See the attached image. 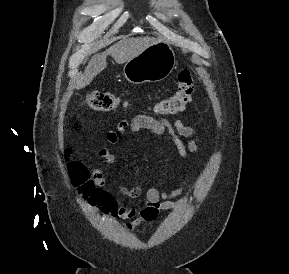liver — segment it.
Masks as SVG:
<instances>
[{
	"mask_svg": "<svg viewBox=\"0 0 289 274\" xmlns=\"http://www.w3.org/2000/svg\"><path fill=\"white\" fill-rule=\"evenodd\" d=\"M158 42L153 37L123 38L106 51L95 54L89 61L85 71L75 82L76 89H82L89 85L106 66V58L111 55L118 64H123L138 56L146 48Z\"/></svg>",
	"mask_w": 289,
	"mask_h": 274,
	"instance_id": "obj_1",
	"label": "liver"
}]
</instances>
